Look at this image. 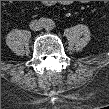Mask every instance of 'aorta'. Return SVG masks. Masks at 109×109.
<instances>
[{"mask_svg": "<svg viewBox=\"0 0 109 109\" xmlns=\"http://www.w3.org/2000/svg\"><path fill=\"white\" fill-rule=\"evenodd\" d=\"M54 26H55V23H54L53 20H51V19L47 20V22H46V24H45V28H46V29H49V30H50V29H53Z\"/></svg>", "mask_w": 109, "mask_h": 109, "instance_id": "1", "label": "aorta"}]
</instances>
